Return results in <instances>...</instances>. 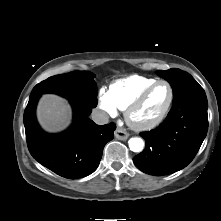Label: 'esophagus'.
Returning a JSON list of instances; mask_svg holds the SVG:
<instances>
[{
    "mask_svg": "<svg viewBox=\"0 0 221 221\" xmlns=\"http://www.w3.org/2000/svg\"><path fill=\"white\" fill-rule=\"evenodd\" d=\"M115 137L119 140H126L129 137V134L125 130L117 127L115 130Z\"/></svg>",
    "mask_w": 221,
    "mask_h": 221,
    "instance_id": "obj_1",
    "label": "esophagus"
}]
</instances>
